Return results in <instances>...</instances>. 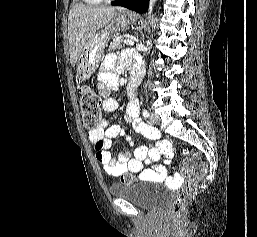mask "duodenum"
Segmentation results:
<instances>
[{
    "mask_svg": "<svg viewBox=\"0 0 257 237\" xmlns=\"http://www.w3.org/2000/svg\"><path fill=\"white\" fill-rule=\"evenodd\" d=\"M131 78L129 80V83L127 85V92L131 99L135 98V87L139 80L140 74H139V68L138 66H132L130 69Z\"/></svg>",
    "mask_w": 257,
    "mask_h": 237,
    "instance_id": "1",
    "label": "duodenum"
}]
</instances>
